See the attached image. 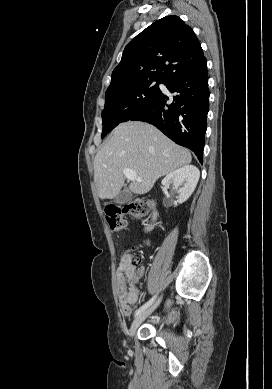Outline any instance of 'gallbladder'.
<instances>
[{
	"label": "gallbladder",
	"instance_id": "obj_1",
	"mask_svg": "<svg viewBox=\"0 0 272 389\" xmlns=\"http://www.w3.org/2000/svg\"><path fill=\"white\" fill-rule=\"evenodd\" d=\"M131 197H132L131 191L127 187H124L116 196L115 203L125 204L130 201Z\"/></svg>",
	"mask_w": 272,
	"mask_h": 389
}]
</instances>
